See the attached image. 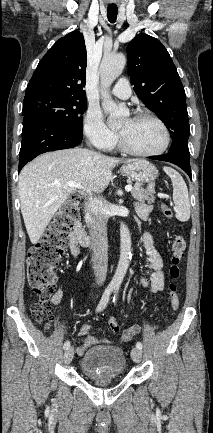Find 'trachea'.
Listing matches in <instances>:
<instances>
[{
	"label": "trachea",
	"mask_w": 213,
	"mask_h": 433,
	"mask_svg": "<svg viewBox=\"0 0 213 433\" xmlns=\"http://www.w3.org/2000/svg\"><path fill=\"white\" fill-rule=\"evenodd\" d=\"M117 14H118V8L116 6L107 7V17L111 23H114L116 21Z\"/></svg>",
	"instance_id": "1"
}]
</instances>
